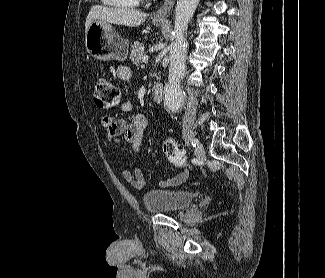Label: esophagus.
I'll use <instances>...</instances> for the list:
<instances>
[{"mask_svg": "<svg viewBox=\"0 0 325 278\" xmlns=\"http://www.w3.org/2000/svg\"><path fill=\"white\" fill-rule=\"evenodd\" d=\"M176 0H165L161 7L153 14L154 21H164L172 10Z\"/></svg>", "mask_w": 325, "mask_h": 278, "instance_id": "1", "label": "esophagus"}]
</instances>
